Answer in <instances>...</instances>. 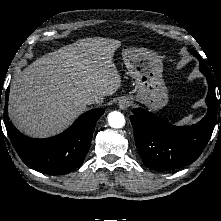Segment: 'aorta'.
I'll use <instances>...</instances> for the list:
<instances>
[{
    "instance_id": "obj_1",
    "label": "aorta",
    "mask_w": 221,
    "mask_h": 221,
    "mask_svg": "<svg viewBox=\"0 0 221 221\" xmlns=\"http://www.w3.org/2000/svg\"><path fill=\"white\" fill-rule=\"evenodd\" d=\"M108 123L112 128H122L125 124V117L121 112L112 111L108 114Z\"/></svg>"
}]
</instances>
